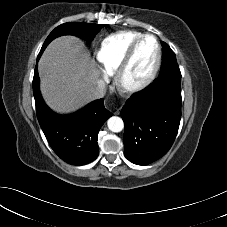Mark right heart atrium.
<instances>
[{
    "instance_id": "d8ad5b80",
    "label": "right heart atrium",
    "mask_w": 227,
    "mask_h": 227,
    "mask_svg": "<svg viewBox=\"0 0 227 227\" xmlns=\"http://www.w3.org/2000/svg\"><path fill=\"white\" fill-rule=\"evenodd\" d=\"M103 78L106 79L107 78V74L103 73Z\"/></svg>"
}]
</instances>
